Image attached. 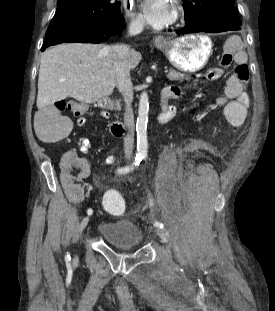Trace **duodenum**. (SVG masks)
I'll use <instances>...</instances> for the list:
<instances>
[{
    "mask_svg": "<svg viewBox=\"0 0 275 311\" xmlns=\"http://www.w3.org/2000/svg\"><path fill=\"white\" fill-rule=\"evenodd\" d=\"M162 103H165L167 101V97L161 96ZM102 108L106 109H113L115 107V103L109 99H103L100 103ZM110 131L114 136H122L126 132V126L121 123L120 121H113L110 125Z\"/></svg>",
    "mask_w": 275,
    "mask_h": 311,
    "instance_id": "obj_1",
    "label": "duodenum"
}]
</instances>
